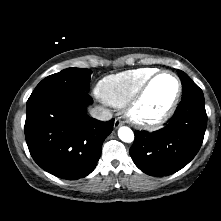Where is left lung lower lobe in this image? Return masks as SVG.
Returning a JSON list of instances; mask_svg holds the SVG:
<instances>
[{
  "label": "left lung lower lobe",
  "mask_w": 221,
  "mask_h": 221,
  "mask_svg": "<svg viewBox=\"0 0 221 221\" xmlns=\"http://www.w3.org/2000/svg\"><path fill=\"white\" fill-rule=\"evenodd\" d=\"M207 126L204 98L181 100L173 117L152 133L136 131L129 152L135 165L151 176L171 175L199 151Z\"/></svg>",
  "instance_id": "left-lung-lower-lobe-1"
}]
</instances>
